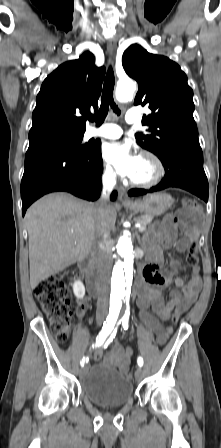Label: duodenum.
I'll list each match as a JSON object with an SVG mask.
<instances>
[{"label":"duodenum","mask_w":221,"mask_h":448,"mask_svg":"<svg viewBox=\"0 0 221 448\" xmlns=\"http://www.w3.org/2000/svg\"><path fill=\"white\" fill-rule=\"evenodd\" d=\"M81 273L87 279V288L90 294L97 295L99 293V278L92 262L91 254H86L79 262Z\"/></svg>","instance_id":"410a0bca"}]
</instances>
